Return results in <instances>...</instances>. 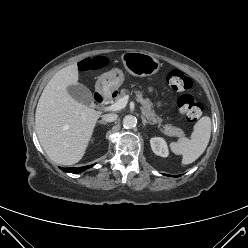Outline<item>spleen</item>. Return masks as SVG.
Segmentation results:
<instances>
[{
  "label": "spleen",
  "instance_id": "spleen-1",
  "mask_svg": "<svg viewBox=\"0 0 248 248\" xmlns=\"http://www.w3.org/2000/svg\"><path fill=\"white\" fill-rule=\"evenodd\" d=\"M211 136V119L201 117L194 125L191 139L182 138L178 142L170 143L171 151L182 155V164H190L197 160L207 148Z\"/></svg>",
  "mask_w": 248,
  "mask_h": 248
}]
</instances>
